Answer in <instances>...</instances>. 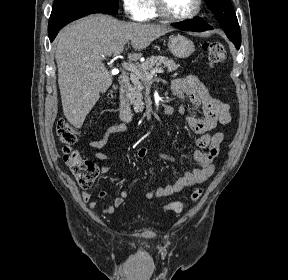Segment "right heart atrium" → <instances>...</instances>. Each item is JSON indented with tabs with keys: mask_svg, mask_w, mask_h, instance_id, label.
Wrapping results in <instances>:
<instances>
[{
	"mask_svg": "<svg viewBox=\"0 0 288 280\" xmlns=\"http://www.w3.org/2000/svg\"><path fill=\"white\" fill-rule=\"evenodd\" d=\"M148 0H121L125 15L134 21H142L145 18Z\"/></svg>",
	"mask_w": 288,
	"mask_h": 280,
	"instance_id": "obj_1",
	"label": "right heart atrium"
}]
</instances>
